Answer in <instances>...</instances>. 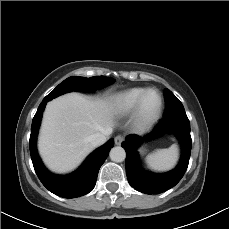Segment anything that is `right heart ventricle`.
Returning <instances> with one entry per match:
<instances>
[{
  "mask_svg": "<svg viewBox=\"0 0 229 229\" xmlns=\"http://www.w3.org/2000/svg\"><path fill=\"white\" fill-rule=\"evenodd\" d=\"M147 88H130L117 93L110 99L111 111L117 116H128L136 108L140 97L147 91Z\"/></svg>",
  "mask_w": 229,
  "mask_h": 229,
  "instance_id": "right-heart-ventricle-1",
  "label": "right heart ventricle"
}]
</instances>
